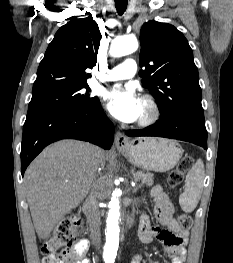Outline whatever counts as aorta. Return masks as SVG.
<instances>
[{
	"label": "aorta",
	"instance_id": "762f6f07",
	"mask_svg": "<svg viewBox=\"0 0 233 263\" xmlns=\"http://www.w3.org/2000/svg\"><path fill=\"white\" fill-rule=\"evenodd\" d=\"M138 49V42L135 37L124 36L113 40L110 47L112 57H121L133 53ZM110 201L109 212L106 220V244L104 256L108 260L116 257L119 246V220H120V191L109 189Z\"/></svg>",
	"mask_w": 233,
	"mask_h": 263
}]
</instances>
